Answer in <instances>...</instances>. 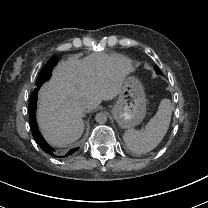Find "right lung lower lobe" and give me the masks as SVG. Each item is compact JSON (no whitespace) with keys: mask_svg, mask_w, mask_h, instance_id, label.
Wrapping results in <instances>:
<instances>
[{"mask_svg":"<svg viewBox=\"0 0 208 208\" xmlns=\"http://www.w3.org/2000/svg\"><path fill=\"white\" fill-rule=\"evenodd\" d=\"M57 64L56 56H52L50 60L46 63V65L43 67L42 74L44 77V82L47 81L51 77V72L53 67ZM41 81L40 85L36 89L33 90L30 101H29V121L31 126V131L33 134L34 139L38 143V145L41 147V149L50 154L53 157L62 158L67 157L68 155H72L75 153L79 148H75L70 150L68 153L60 154L56 153L55 150L48 145V143L44 140L43 136L41 135L40 131L38 130V125L36 122V108H37V93L41 85L44 83Z\"/></svg>","mask_w":208,"mask_h":208,"instance_id":"obj_1","label":"right lung lower lobe"}]
</instances>
